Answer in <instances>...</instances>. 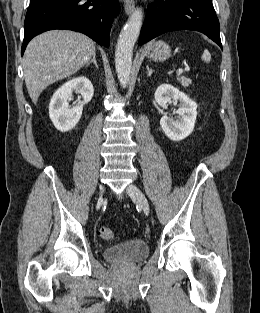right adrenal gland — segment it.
<instances>
[{
  "mask_svg": "<svg viewBox=\"0 0 260 313\" xmlns=\"http://www.w3.org/2000/svg\"><path fill=\"white\" fill-rule=\"evenodd\" d=\"M91 63H94V65L98 68V64L96 61V53L93 54V58L87 62L86 67L89 66Z\"/></svg>",
  "mask_w": 260,
  "mask_h": 313,
  "instance_id": "2a0ac1e0",
  "label": "right adrenal gland"
}]
</instances>
